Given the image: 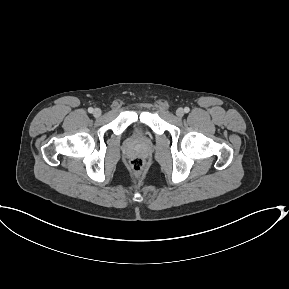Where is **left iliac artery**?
Returning <instances> with one entry per match:
<instances>
[{"label": "left iliac artery", "instance_id": "1", "mask_svg": "<svg viewBox=\"0 0 289 289\" xmlns=\"http://www.w3.org/2000/svg\"><path fill=\"white\" fill-rule=\"evenodd\" d=\"M189 111H190L189 107H185V108H184V112H185V113H188Z\"/></svg>", "mask_w": 289, "mask_h": 289}]
</instances>
